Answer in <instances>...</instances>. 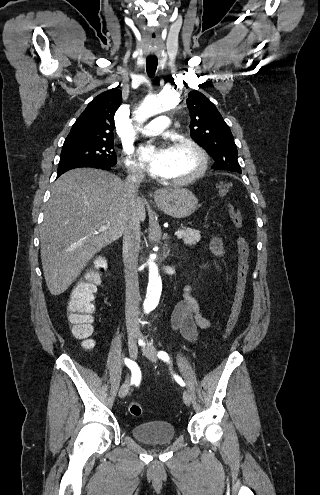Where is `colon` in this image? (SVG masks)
Returning <instances> with one entry per match:
<instances>
[{"label": "colon", "mask_w": 320, "mask_h": 495, "mask_svg": "<svg viewBox=\"0 0 320 495\" xmlns=\"http://www.w3.org/2000/svg\"><path fill=\"white\" fill-rule=\"evenodd\" d=\"M232 191L230 182H222L218 186V192L221 197L227 198ZM229 214L234 226L240 229L243 225V217L241 212L233 205L229 204ZM237 284L234 301L231 308L227 324L223 332V338H228L239 318L243 298L246 290V284L249 273V256L250 245L247 238L243 234H239L237 238ZM105 269V264L99 261L94 270L87 272L84 277L75 285L71 298L69 300V322L72 327L73 334L80 339H87L93 330L92 315L95 311V293L97 285L100 282L101 272ZM90 345V341H86ZM129 412L133 416L142 414V406L138 402H132L129 405Z\"/></svg>", "instance_id": "5ec220e1"}]
</instances>
